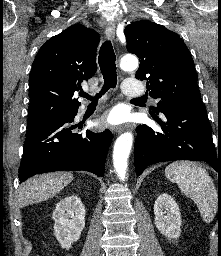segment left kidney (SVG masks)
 <instances>
[{"instance_id": "5707ae66", "label": "left kidney", "mask_w": 221, "mask_h": 256, "mask_svg": "<svg viewBox=\"0 0 221 256\" xmlns=\"http://www.w3.org/2000/svg\"><path fill=\"white\" fill-rule=\"evenodd\" d=\"M155 225L168 239H177L181 234L179 206L171 195L162 193L154 204Z\"/></svg>"}]
</instances>
